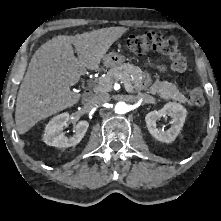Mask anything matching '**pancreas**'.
<instances>
[{"mask_svg": "<svg viewBox=\"0 0 221 221\" xmlns=\"http://www.w3.org/2000/svg\"><path fill=\"white\" fill-rule=\"evenodd\" d=\"M142 77L140 67L126 63L120 66L113 67L107 74L99 79L97 87L98 92H109L112 90V85L115 81L122 80L129 84L131 88V81H139ZM148 93L158 94L164 100H175L181 103L188 102L187 98L177 89V86L167 81H155V83L148 89Z\"/></svg>", "mask_w": 221, "mask_h": 221, "instance_id": "cf45deb5", "label": "pancreas"}]
</instances>
